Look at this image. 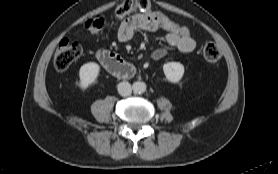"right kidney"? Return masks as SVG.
Returning <instances> with one entry per match:
<instances>
[{"mask_svg": "<svg viewBox=\"0 0 278 174\" xmlns=\"http://www.w3.org/2000/svg\"><path fill=\"white\" fill-rule=\"evenodd\" d=\"M100 67L94 62H88L81 66L79 70L78 86L81 89H87L93 84L99 74Z\"/></svg>", "mask_w": 278, "mask_h": 174, "instance_id": "obj_1", "label": "right kidney"}]
</instances>
